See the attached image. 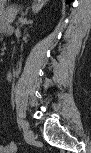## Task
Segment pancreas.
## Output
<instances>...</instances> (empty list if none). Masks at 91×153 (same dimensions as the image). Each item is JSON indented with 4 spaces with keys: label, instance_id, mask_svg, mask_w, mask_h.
Masks as SVG:
<instances>
[{
    "label": "pancreas",
    "instance_id": "obj_1",
    "mask_svg": "<svg viewBox=\"0 0 91 153\" xmlns=\"http://www.w3.org/2000/svg\"><path fill=\"white\" fill-rule=\"evenodd\" d=\"M16 15V10L14 8H10L7 11H3L1 13V22L5 28L12 22Z\"/></svg>",
    "mask_w": 91,
    "mask_h": 153
}]
</instances>
